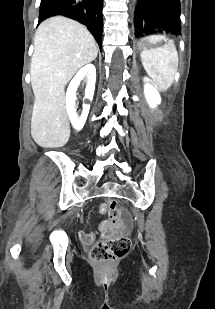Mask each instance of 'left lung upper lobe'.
<instances>
[{
    "instance_id": "obj_1",
    "label": "left lung upper lobe",
    "mask_w": 215,
    "mask_h": 309,
    "mask_svg": "<svg viewBox=\"0 0 215 309\" xmlns=\"http://www.w3.org/2000/svg\"><path fill=\"white\" fill-rule=\"evenodd\" d=\"M180 0H138L134 13L135 36L166 32L181 34Z\"/></svg>"
}]
</instances>
